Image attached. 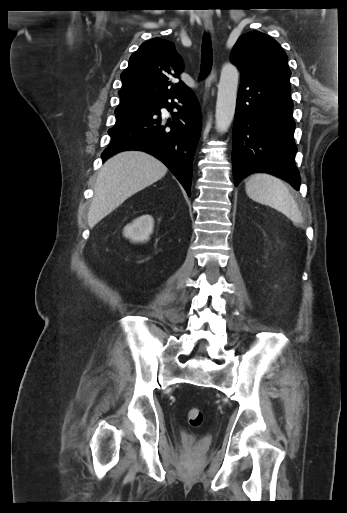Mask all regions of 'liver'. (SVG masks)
Segmentation results:
<instances>
[{
	"label": "liver",
	"mask_w": 347,
	"mask_h": 513,
	"mask_svg": "<svg viewBox=\"0 0 347 513\" xmlns=\"http://www.w3.org/2000/svg\"><path fill=\"white\" fill-rule=\"evenodd\" d=\"M167 167L141 151H124L107 160L98 174L88 225L99 221L118 208L126 199L160 180Z\"/></svg>",
	"instance_id": "6515ba94"
}]
</instances>
